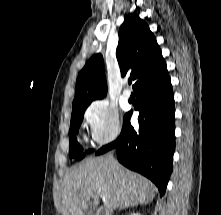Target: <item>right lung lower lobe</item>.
Returning <instances> with one entry per match:
<instances>
[{
	"label": "right lung lower lobe",
	"instance_id": "right-lung-lower-lobe-1",
	"mask_svg": "<svg viewBox=\"0 0 221 215\" xmlns=\"http://www.w3.org/2000/svg\"><path fill=\"white\" fill-rule=\"evenodd\" d=\"M139 128L130 124L132 112L125 114L119 137L100 148L101 155L116 148L118 161L149 178L165 193L172 172L175 150L174 95L167 70L135 89Z\"/></svg>",
	"mask_w": 221,
	"mask_h": 215
}]
</instances>
